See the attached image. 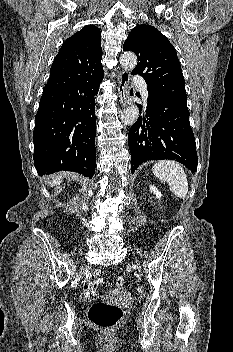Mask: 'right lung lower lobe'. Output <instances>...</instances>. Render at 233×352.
I'll list each match as a JSON object with an SVG mask.
<instances>
[{
    "mask_svg": "<svg viewBox=\"0 0 233 352\" xmlns=\"http://www.w3.org/2000/svg\"><path fill=\"white\" fill-rule=\"evenodd\" d=\"M103 77L104 72L61 90L43 92L33 133L39 175L63 170L93 177L95 96Z\"/></svg>",
    "mask_w": 233,
    "mask_h": 352,
    "instance_id": "1",
    "label": "right lung lower lobe"
}]
</instances>
